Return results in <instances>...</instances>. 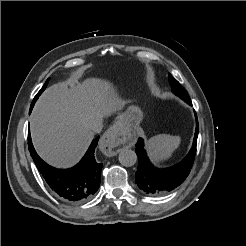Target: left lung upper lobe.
<instances>
[{"mask_svg":"<svg viewBox=\"0 0 246 246\" xmlns=\"http://www.w3.org/2000/svg\"><path fill=\"white\" fill-rule=\"evenodd\" d=\"M169 82L172 87V91L178 95L181 99L186 101L189 98L187 91L180 85V83L169 74Z\"/></svg>","mask_w":246,"mask_h":246,"instance_id":"obj_1","label":"left lung upper lobe"}]
</instances>
